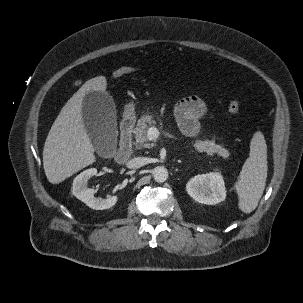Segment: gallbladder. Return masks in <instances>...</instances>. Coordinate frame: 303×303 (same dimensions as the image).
Wrapping results in <instances>:
<instances>
[{"mask_svg":"<svg viewBox=\"0 0 303 303\" xmlns=\"http://www.w3.org/2000/svg\"><path fill=\"white\" fill-rule=\"evenodd\" d=\"M82 116L85 130L96 151L104 155L113 151L117 141L116 109L107 92L92 91L83 98Z\"/></svg>","mask_w":303,"mask_h":303,"instance_id":"obj_1","label":"gallbladder"}]
</instances>
